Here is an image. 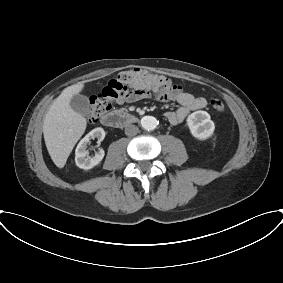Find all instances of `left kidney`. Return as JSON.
<instances>
[{"label":"left kidney","instance_id":"5707ae66","mask_svg":"<svg viewBox=\"0 0 283 283\" xmlns=\"http://www.w3.org/2000/svg\"><path fill=\"white\" fill-rule=\"evenodd\" d=\"M187 125L191 134L199 140L209 138L215 130V124L210 115L202 110L190 114L187 118Z\"/></svg>","mask_w":283,"mask_h":283}]
</instances>
